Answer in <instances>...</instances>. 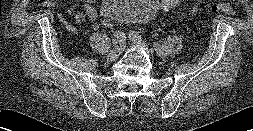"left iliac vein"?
<instances>
[{
	"label": "left iliac vein",
	"instance_id": "obj_1",
	"mask_svg": "<svg viewBox=\"0 0 253 131\" xmlns=\"http://www.w3.org/2000/svg\"><path fill=\"white\" fill-rule=\"evenodd\" d=\"M129 39L134 42L135 44L139 45L140 47L147 48L146 42L142 38H134L132 36H129Z\"/></svg>",
	"mask_w": 253,
	"mask_h": 131
}]
</instances>
